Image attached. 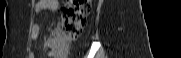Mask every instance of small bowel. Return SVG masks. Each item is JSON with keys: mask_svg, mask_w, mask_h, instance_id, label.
<instances>
[{"mask_svg": "<svg viewBox=\"0 0 181 58\" xmlns=\"http://www.w3.org/2000/svg\"><path fill=\"white\" fill-rule=\"evenodd\" d=\"M59 8L58 0H37L35 2V14L37 16L41 15L45 11H56ZM40 27L38 25L34 26L33 37L37 38L39 36Z\"/></svg>", "mask_w": 181, "mask_h": 58, "instance_id": "obj_1", "label": "small bowel"}]
</instances>
